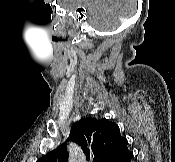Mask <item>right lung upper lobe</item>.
<instances>
[{
	"label": "right lung upper lobe",
	"mask_w": 175,
	"mask_h": 162,
	"mask_svg": "<svg viewBox=\"0 0 175 162\" xmlns=\"http://www.w3.org/2000/svg\"><path fill=\"white\" fill-rule=\"evenodd\" d=\"M68 141L81 146L89 160L93 154V162H112L127 149L128 141L120 134L116 123L108 119L85 118L72 125ZM37 162H68L66 143L41 157Z\"/></svg>",
	"instance_id": "cb5924a9"
}]
</instances>
